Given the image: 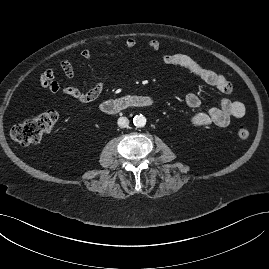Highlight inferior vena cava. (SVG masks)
<instances>
[{
  "mask_svg": "<svg viewBox=\"0 0 269 269\" xmlns=\"http://www.w3.org/2000/svg\"><path fill=\"white\" fill-rule=\"evenodd\" d=\"M117 124L120 128H126L129 125V120L126 117H120L117 121Z\"/></svg>",
  "mask_w": 269,
  "mask_h": 269,
  "instance_id": "602c4592",
  "label": "inferior vena cava"
}]
</instances>
